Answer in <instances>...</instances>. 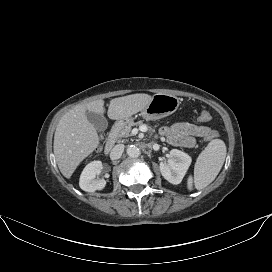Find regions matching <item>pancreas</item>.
Returning a JSON list of instances; mask_svg holds the SVG:
<instances>
[{
  "label": "pancreas",
  "instance_id": "obj_1",
  "mask_svg": "<svg viewBox=\"0 0 272 272\" xmlns=\"http://www.w3.org/2000/svg\"><path fill=\"white\" fill-rule=\"evenodd\" d=\"M143 122L139 121V122H129L128 124H125L120 131L117 133V139L119 141H123L122 138H127L129 136H132V127L133 126H140L142 125Z\"/></svg>",
  "mask_w": 272,
  "mask_h": 272
}]
</instances>
